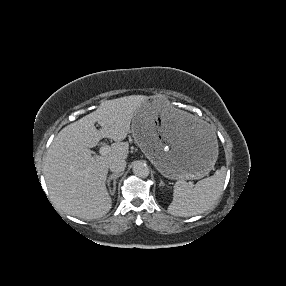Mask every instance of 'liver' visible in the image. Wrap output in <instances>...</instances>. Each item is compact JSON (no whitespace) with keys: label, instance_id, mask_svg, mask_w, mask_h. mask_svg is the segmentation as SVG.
Instances as JSON below:
<instances>
[{"label":"liver","instance_id":"obj_1","mask_svg":"<svg viewBox=\"0 0 286 286\" xmlns=\"http://www.w3.org/2000/svg\"><path fill=\"white\" fill-rule=\"evenodd\" d=\"M147 99L132 95L105 100L99 108L64 127L53 139L44 162V176L53 203L65 213L84 220L106 215L112 199L106 188L109 163L126 159L129 144L123 142L130 132L135 111ZM189 121L191 115L180 113ZM101 126L97 130L95 123ZM102 138L115 141L106 155H94L90 148Z\"/></svg>","mask_w":286,"mask_h":286}]
</instances>
